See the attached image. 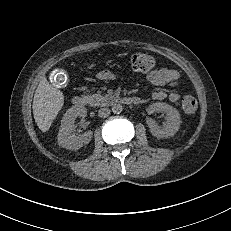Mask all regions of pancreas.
Returning a JSON list of instances; mask_svg holds the SVG:
<instances>
[{
  "label": "pancreas",
  "instance_id": "obj_1",
  "mask_svg": "<svg viewBox=\"0 0 231 231\" xmlns=\"http://www.w3.org/2000/svg\"><path fill=\"white\" fill-rule=\"evenodd\" d=\"M112 98L113 97L111 95L101 94L100 91L87 97L89 104L92 106L106 105L107 102L111 100Z\"/></svg>",
  "mask_w": 231,
  "mask_h": 231
}]
</instances>
